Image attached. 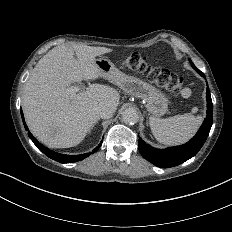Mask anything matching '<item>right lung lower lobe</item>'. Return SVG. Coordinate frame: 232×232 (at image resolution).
<instances>
[{"mask_svg":"<svg viewBox=\"0 0 232 232\" xmlns=\"http://www.w3.org/2000/svg\"><path fill=\"white\" fill-rule=\"evenodd\" d=\"M21 116H22V120H23L25 129L28 130V128H27V126H26V124L24 122V117H23L22 110H21ZM28 136L33 141V143L36 145V147L39 150H41L46 156H48L49 158H51V159H53L55 161H58L60 163H73V162L83 160L86 157H88L89 155H91L92 153L96 152L100 148V146L102 144V141H101V143L92 152H89V153H85V154H81V155H64V154L54 152V151L46 148L44 145L40 144L37 141V139L30 132H28Z\"/></svg>","mask_w":232,"mask_h":232,"instance_id":"obj_1","label":"right lung lower lobe"}]
</instances>
